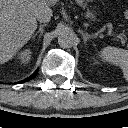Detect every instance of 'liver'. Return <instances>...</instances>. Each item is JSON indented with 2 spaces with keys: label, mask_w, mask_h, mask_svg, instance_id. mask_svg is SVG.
<instances>
[{
  "label": "liver",
  "mask_w": 128,
  "mask_h": 128,
  "mask_svg": "<svg viewBox=\"0 0 128 128\" xmlns=\"http://www.w3.org/2000/svg\"><path fill=\"white\" fill-rule=\"evenodd\" d=\"M58 1L0 0V64L11 60L29 41L37 28V15Z\"/></svg>",
  "instance_id": "liver-1"
}]
</instances>
